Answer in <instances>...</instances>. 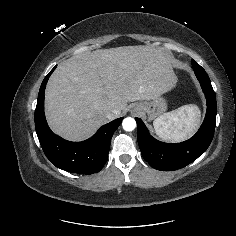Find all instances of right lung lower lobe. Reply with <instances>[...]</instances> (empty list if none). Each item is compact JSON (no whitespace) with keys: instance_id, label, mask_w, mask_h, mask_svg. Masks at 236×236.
Instances as JSON below:
<instances>
[{"instance_id":"right-lung-lower-lobe-1","label":"right lung lower lobe","mask_w":236,"mask_h":236,"mask_svg":"<svg viewBox=\"0 0 236 236\" xmlns=\"http://www.w3.org/2000/svg\"><path fill=\"white\" fill-rule=\"evenodd\" d=\"M55 68L41 84L35 109V129L41 147L50 162L62 170L86 175L99 172L108 159L112 135L123 117L103 125L83 142H70L55 135L48 127L44 114L45 87Z\"/></svg>"}]
</instances>
